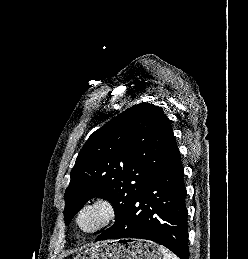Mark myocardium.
<instances>
[{
  "label": "myocardium",
  "mask_w": 248,
  "mask_h": 259,
  "mask_svg": "<svg viewBox=\"0 0 248 259\" xmlns=\"http://www.w3.org/2000/svg\"><path fill=\"white\" fill-rule=\"evenodd\" d=\"M100 208L104 215L100 222L90 229H85L81 226V217L89 209ZM117 209L115 204L106 197H95L83 203L77 210L74 218L76 229L84 235H92L108 226L116 217Z\"/></svg>",
  "instance_id": "f54148a6"
}]
</instances>
